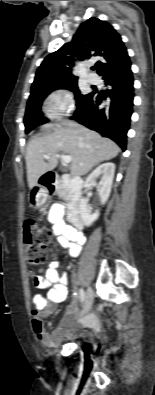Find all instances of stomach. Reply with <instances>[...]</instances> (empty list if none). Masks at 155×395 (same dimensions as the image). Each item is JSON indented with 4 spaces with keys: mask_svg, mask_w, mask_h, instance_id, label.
<instances>
[{
    "mask_svg": "<svg viewBox=\"0 0 155 395\" xmlns=\"http://www.w3.org/2000/svg\"><path fill=\"white\" fill-rule=\"evenodd\" d=\"M47 198L46 191L39 187L35 186L31 189L30 194H29V202L31 206L33 207H39L41 206Z\"/></svg>",
    "mask_w": 155,
    "mask_h": 395,
    "instance_id": "stomach-1",
    "label": "stomach"
}]
</instances>
